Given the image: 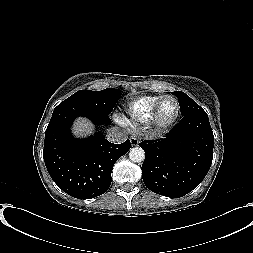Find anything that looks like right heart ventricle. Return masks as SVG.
Segmentation results:
<instances>
[{"label":"right heart ventricle","instance_id":"right-heart-ventricle-1","mask_svg":"<svg viewBox=\"0 0 253 253\" xmlns=\"http://www.w3.org/2000/svg\"><path fill=\"white\" fill-rule=\"evenodd\" d=\"M160 97L158 95H148L130 102L126 115L120 119L121 122L130 126L148 122L151 111Z\"/></svg>","mask_w":253,"mask_h":253}]
</instances>
